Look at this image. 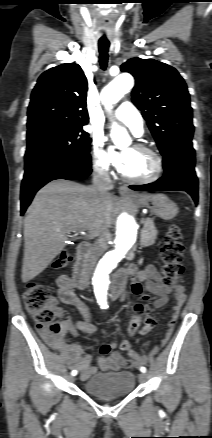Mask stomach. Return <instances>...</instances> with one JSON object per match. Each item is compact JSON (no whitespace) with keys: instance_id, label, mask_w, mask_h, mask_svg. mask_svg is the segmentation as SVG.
I'll return each mask as SVG.
<instances>
[{"instance_id":"stomach-1","label":"stomach","mask_w":212,"mask_h":438,"mask_svg":"<svg viewBox=\"0 0 212 438\" xmlns=\"http://www.w3.org/2000/svg\"><path fill=\"white\" fill-rule=\"evenodd\" d=\"M132 200L164 220H170L178 213L177 205L163 194H140Z\"/></svg>"}]
</instances>
